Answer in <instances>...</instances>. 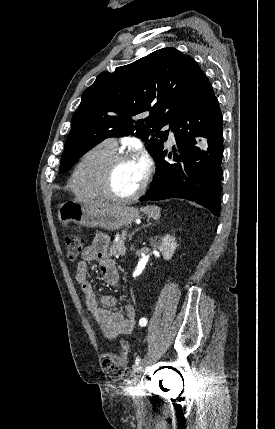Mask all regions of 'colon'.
<instances>
[{
    "instance_id": "1",
    "label": "colon",
    "mask_w": 275,
    "mask_h": 429,
    "mask_svg": "<svg viewBox=\"0 0 275 429\" xmlns=\"http://www.w3.org/2000/svg\"><path fill=\"white\" fill-rule=\"evenodd\" d=\"M84 241L75 234H67L65 237V247L67 256L70 260H75L83 249ZM128 345L125 341L121 342V352L117 354H106L102 361L105 374L112 380H118L125 372L127 365Z\"/></svg>"
}]
</instances>
